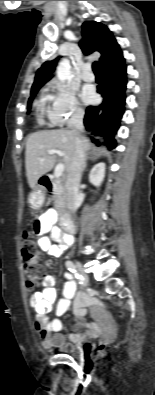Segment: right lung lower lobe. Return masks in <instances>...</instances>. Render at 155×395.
<instances>
[{"mask_svg":"<svg viewBox=\"0 0 155 395\" xmlns=\"http://www.w3.org/2000/svg\"><path fill=\"white\" fill-rule=\"evenodd\" d=\"M103 84L97 87L103 102L99 106H89L86 110L84 125L88 131L104 136L105 144L113 149L116 146L114 134L120 126L124 113L126 91V65L124 60L102 68Z\"/></svg>","mask_w":155,"mask_h":395,"instance_id":"obj_1","label":"right lung lower lobe"}]
</instances>
